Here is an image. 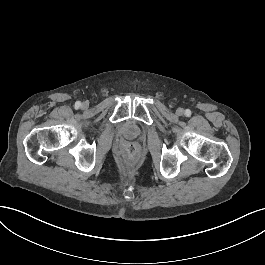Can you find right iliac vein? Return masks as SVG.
<instances>
[{
	"label": "right iliac vein",
	"mask_w": 265,
	"mask_h": 265,
	"mask_svg": "<svg viewBox=\"0 0 265 265\" xmlns=\"http://www.w3.org/2000/svg\"><path fill=\"white\" fill-rule=\"evenodd\" d=\"M87 107H88L87 103L84 102V103L82 104V108H83V109H86Z\"/></svg>",
	"instance_id": "63e3f726"
}]
</instances>
